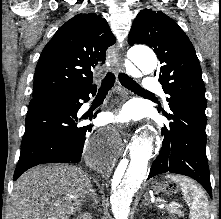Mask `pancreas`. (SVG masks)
<instances>
[{"label":"pancreas","instance_id":"cf45deb5","mask_svg":"<svg viewBox=\"0 0 221 219\" xmlns=\"http://www.w3.org/2000/svg\"><path fill=\"white\" fill-rule=\"evenodd\" d=\"M165 209H166L170 214L177 215L178 217H183V216H184V212H182L180 209H178V208H176V207L166 206Z\"/></svg>","mask_w":221,"mask_h":219}]
</instances>
